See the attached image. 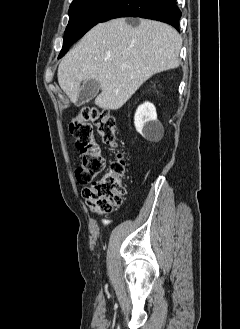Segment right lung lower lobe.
Returning <instances> with one entry per match:
<instances>
[{
	"label": "right lung lower lobe",
	"instance_id": "1",
	"mask_svg": "<svg viewBox=\"0 0 240 329\" xmlns=\"http://www.w3.org/2000/svg\"><path fill=\"white\" fill-rule=\"evenodd\" d=\"M181 15L176 0H121L100 22L119 17H140L168 23L179 31Z\"/></svg>",
	"mask_w": 240,
	"mask_h": 329
}]
</instances>
